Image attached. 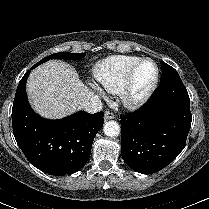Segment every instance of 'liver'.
Masks as SVG:
<instances>
[{
  "instance_id": "obj_1",
  "label": "liver",
  "mask_w": 209,
  "mask_h": 209,
  "mask_svg": "<svg viewBox=\"0 0 209 209\" xmlns=\"http://www.w3.org/2000/svg\"><path fill=\"white\" fill-rule=\"evenodd\" d=\"M27 94L34 111L48 119L64 118L94 96L76 70L60 60H50L30 73Z\"/></svg>"
}]
</instances>
